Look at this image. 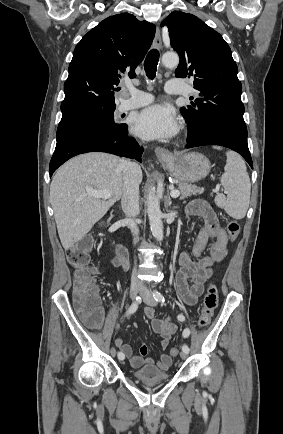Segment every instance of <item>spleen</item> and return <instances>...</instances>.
Returning a JSON list of instances; mask_svg holds the SVG:
<instances>
[{"label":"spleen","instance_id":"obj_1","mask_svg":"<svg viewBox=\"0 0 283 434\" xmlns=\"http://www.w3.org/2000/svg\"><path fill=\"white\" fill-rule=\"evenodd\" d=\"M226 156L221 183L227 196L218 194L215 203L232 218L242 219L246 215L250 202V178L243 159L237 153L228 151Z\"/></svg>","mask_w":283,"mask_h":434}]
</instances>
